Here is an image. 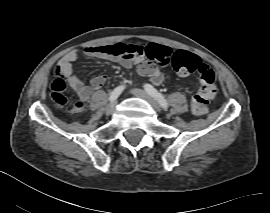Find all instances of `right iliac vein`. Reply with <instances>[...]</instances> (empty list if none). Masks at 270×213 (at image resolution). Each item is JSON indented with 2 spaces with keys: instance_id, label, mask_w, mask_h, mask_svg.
<instances>
[{
  "instance_id": "right-iliac-vein-1",
  "label": "right iliac vein",
  "mask_w": 270,
  "mask_h": 213,
  "mask_svg": "<svg viewBox=\"0 0 270 213\" xmlns=\"http://www.w3.org/2000/svg\"><path fill=\"white\" fill-rule=\"evenodd\" d=\"M116 107V102H112L110 104L107 105V107L105 108V113L110 115L114 112Z\"/></svg>"
}]
</instances>
